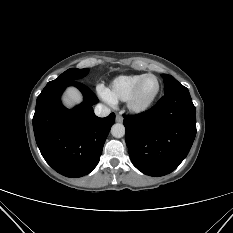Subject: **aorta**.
I'll use <instances>...</instances> for the list:
<instances>
[{
	"label": "aorta",
	"instance_id": "762f6f07",
	"mask_svg": "<svg viewBox=\"0 0 233 233\" xmlns=\"http://www.w3.org/2000/svg\"><path fill=\"white\" fill-rule=\"evenodd\" d=\"M111 134L115 138H121L125 135V127L121 123H116L111 128Z\"/></svg>",
	"mask_w": 233,
	"mask_h": 233
}]
</instances>
